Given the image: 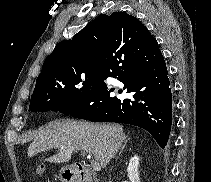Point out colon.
I'll use <instances>...</instances> for the list:
<instances>
[{"label": "colon", "instance_id": "5ec220e1", "mask_svg": "<svg viewBox=\"0 0 211 182\" xmlns=\"http://www.w3.org/2000/svg\"><path fill=\"white\" fill-rule=\"evenodd\" d=\"M35 173H36L37 175H42V174L44 173V167H43L42 164L36 165Z\"/></svg>", "mask_w": 211, "mask_h": 182}]
</instances>
